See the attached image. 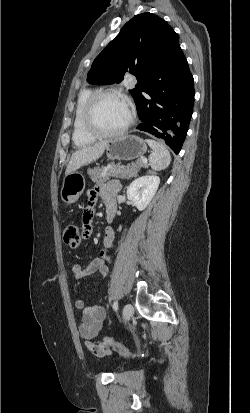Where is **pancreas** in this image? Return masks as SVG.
Masks as SVG:
<instances>
[{"label":"pancreas","instance_id":"cf45deb5","mask_svg":"<svg viewBox=\"0 0 250 413\" xmlns=\"http://www.w3.org/2000/svg\"><path fill=\"white\" fill-rule=\"evenodd\" d=\"M141 167H147V164L142 159L136 161V163L128 164L127 166L120 164H112L107 167L101 166L88 170V175L91 180L96 184L103 183L108 180L109 177H116L127 179L137 175Z\"/></svg>","mask_w":250,"mask_h":413}]
</instances>
